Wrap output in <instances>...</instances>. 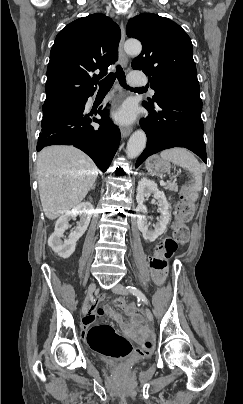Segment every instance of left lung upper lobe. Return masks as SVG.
Wrapping results in <instances>:
<instances>
[{
  "mask_svg": "<svg viewBox=\"0 0 243 404\" xmlns=\"http://www.w3.org/2000/svg\"><path fill=\"white\" fill-rule=\"evenodd\" d=\"M126 33L141 41L143 50L132 61V68L148 75L155 90L153 101L184 96L200 99L199 82L188 34L172 20L142 13L129 20ZM147 109L154 103L143 102Z\"/></svg>",
  "mask_w": 243,
  "mask_h": 404,
  "instance_id": "5c2ea615",
  "label": "left lung upper lobe"
}]
</instances>
